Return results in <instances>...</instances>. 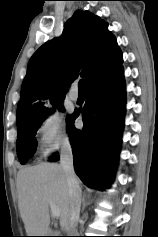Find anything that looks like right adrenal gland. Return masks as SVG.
Listing matches in <instances>:
<instances>
[{
    "mask_svg": "<svg viewBox=\"0 0 158 237\" xmlns=\"http://www.w3.org/2000/svg\"><path fill=\"white\" fill-rule=\"evenodd\" d=\"M81 203H82V212L87 204H90V202L87 201L86 194H83L81 198Z\"/></svg>",
    "mask_w": 158,
    "mask_h": 237,
    "instance_id": "obj_1",
    "label": "right adrenal gland"
}]
</instances>
